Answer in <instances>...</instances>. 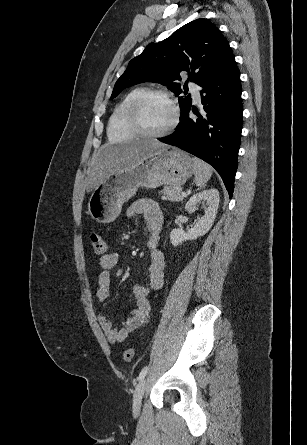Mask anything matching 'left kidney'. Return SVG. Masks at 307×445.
<instances>
[{
	"instance_id": "1",
	"label": "left kidney",
	"mask_w": 307,
	"mask_h": 445,
	"mask_svg": "<svg viewBox=\"0 0 307 445\" xmlns=\"http://www.w3.org/2000/svg\"><path fill=\"white\" fill-rule=\"evenodd\" d=\"M201 200H207L208 208L205 210L203 216H199L196 225L193 229H189L187 233L183 229H172L170 233V241L173 247L181 245L183 241H193L198 237H203L211 229L219 204V192L217 188H209V190H202V192H196L188 202L185 204L187 212H194L198 202Z\"/></svg>"
}]
</instances>
